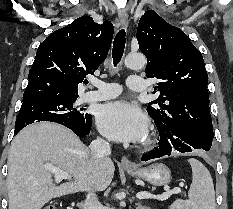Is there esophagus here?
<instances>
[{"label": "esophagus", "mask_w": 233, "mask_h": 209, "mask_svg": "<svg viewBox=\"0 0 233 209\" xmlns=\"http://www.w3.org/2000/svg\"><path fill=\"white\" fill-rule=\"evenodd\" d=\"M118 19L119 23L123 28L128 27V16L125 10L120 9L118 11ZM121 165L125 168H135V165L130 162V160L127 157H122L121 159Z\"/></svg>", "instance_id": "1"}]
</instances>
